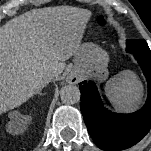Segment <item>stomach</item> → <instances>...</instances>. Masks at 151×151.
Wrapping results in <instances>:
<instances>
[{
	"mask_svg": "<svg viewBox=\"0 0 151 151\" xmlns=\"http://www.w3.org/2000/svg\"><path fill=\"white\" fill-rule=\"evenodd\" d=\"M108 54L92 43L81 45L75 54L72 74L76 76H93L102 81L107 78Z\"/></svg>",
	"mask_w": 151,
	"mask_h": 151,
	"instance_id": "0dacf381",
	"label": "stomach"
}]
</instances>
